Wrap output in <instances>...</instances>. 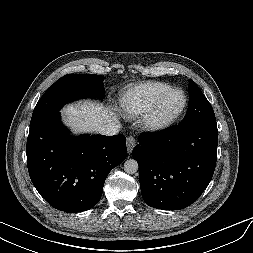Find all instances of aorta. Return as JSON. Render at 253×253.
Here are the masks:
<instances>
[{
  "instance_id": "aorta-1",
  "label": "aorta",
  "mask_w": 253,
  "mask_h": 253,
  "mask_svg": "<svg viewBox=\"0 0 253 253\" xmlns=\"http://www.w3.org/2000/svg\"><path fill=\"white\" fill-rule=\"evenodd\" d=\"M124 171L128 174H134L138 171V163L134 159L126 160L124 163Z\"/></svg>"
}]
</instances>
